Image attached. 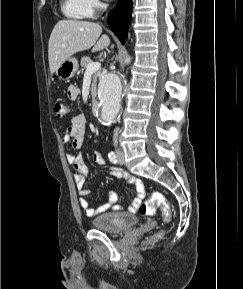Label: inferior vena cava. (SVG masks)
<instances>
[{"label": "inferior vena cava", "instance_id": "602c4592", "mask_svg": "<svg viewBox=\"0 0 243 289\" xmlns=\"http://www.w3.org/2000/svg\"><path fill=\"white\" fill-rule=\"evenodd\" d=\"M118 131H119V129L116 128L114 131V136H113V143H114V146L117 148L116 152H120V149H118V141H117Z\"/></svg>", "mask_w": 243, "mask_h": 289}]
</instances>
